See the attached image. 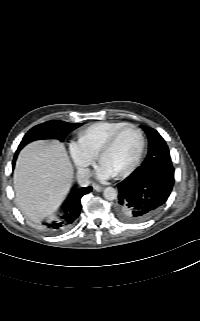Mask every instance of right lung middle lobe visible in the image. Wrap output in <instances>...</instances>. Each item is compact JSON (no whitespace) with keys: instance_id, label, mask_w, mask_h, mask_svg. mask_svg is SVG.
Masks as SVG:
<instances>
[{"instance_id":"obj_1","label":"right lung middle lobe","mask_w":200,"mask_h":321,"mask_svg":"<svg viewBox=\"0 0 200 321\" xmlns=\"http://www.w3.org/2000/svg\"><path fill=\"white\" fill-rule=\"evenodd\" d=\"M81 125L82 123L73 124L59 120H52L39 124L26 133L20 142L18 151H20L26 144L35 140L58 139L60 141H64L68 133Z\"/></svg>"}]
</instances>
